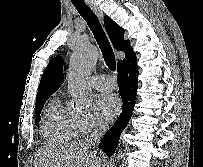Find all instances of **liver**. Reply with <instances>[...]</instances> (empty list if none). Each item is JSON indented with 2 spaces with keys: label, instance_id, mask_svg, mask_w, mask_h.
<instances>
[{
  "label": "liver",
  "instance_id": "liver-1",
  "mask_svg": "<svg viewBox=\"0 0 203 167\" xmlns=\"http://www.w3.org/2000/svg\"><path fill=\"white\" fill-rule=\"evenodd\" d=\"M35 167H101L95 151L86 142L50 145L39 150Z\"/></svg>",
  "mask_w": 203,
  "mask_h": 167
}]
</instances>
